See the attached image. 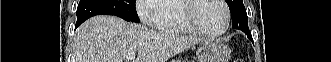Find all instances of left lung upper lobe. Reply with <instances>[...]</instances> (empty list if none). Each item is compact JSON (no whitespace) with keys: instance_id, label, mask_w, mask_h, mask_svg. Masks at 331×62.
Listing matches in <instances>:
<instances>
[{"instance_id":"1","label":"left lung upper lobe","mask_w":331,"mask_h":62,"mask_svg":"<svg viewBox=\"0 0 331 62\" xmlns=\"http://www.w3.org/2000/svg\"><path fill=\"white\" fill-rule=\"evenodd\" d=\"M225 1L227 2L231 12L232 23H236L237 25H240L247 32H250L248 28V17H247L246 9L243 5V0H225Z\"/></svg>"}]
</instances>
